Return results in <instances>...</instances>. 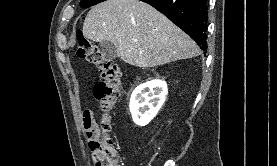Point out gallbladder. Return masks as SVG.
<instances>
[{"mask_svg":"<svg viewBox=\"0 0 277 166\" xmlns=\"http://www.w3.org/2000/svg\"><path fill=\"white\" fill-rule=\"evenodd\" d=\"M100 48L103 55L108 59H115L117 57V50L115 45L110 41L100 42Z\"/></svg>","mask_w":277,"mask_h":166,"instance_id":"obj_1","label":"gallbladder"}]
</instances>
